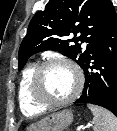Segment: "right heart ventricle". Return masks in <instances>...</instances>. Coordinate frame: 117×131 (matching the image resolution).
Returning <instances> with one entry per match:
<instances>
[{
	"mask_svg": "<svg viewBox=\"0 0 117 131\" xmlns=\"http://www.w3.org/2000/svg\"><path fill=\"white\" fill-rule=\"evenodd\" d=\"M36 64H30L22 73L19 88H18V100L20 109L26 116L39 115L45 111V107L37 105L31 98L29 92V85L32 74L36 68Z\"/></svg>",
	"mask_w": 117,
	"mask_h": 131,
	"instance_id": "obj_1",
	"label": "right heart ventricle"
}]
</instances>
